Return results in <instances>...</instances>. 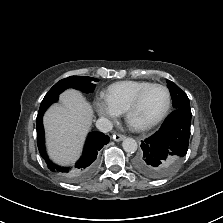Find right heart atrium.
<instances>
[{"label":"right heart atrium","mask_w":223,"mask_h":223,"mask_svg":"<svg viewBox=\"0 0 223 223\" xmlns=\"http://www.w3.org/2000/svg\"><path fill=\"white\" fill-rule=\"evenodd\" d=\"M97 111L100 116L108 120H114L120 115V111L106 98L99 96L96 100Z\"/></svg>","instance_id":"obj_1"}]
</instances>
